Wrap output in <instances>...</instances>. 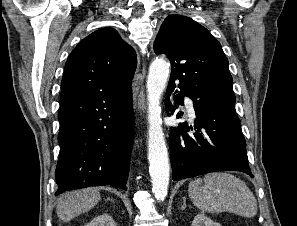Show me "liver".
Masks as SVG:
<instances>
[{
  "label": "liver",
  "mask_w": 297,
  "mask_h": 226,
  "mask_svg": "<svg viewBox=\"0 0 297 226\" xmlns=\"http://www.w3.org/2000/svg\"><path fill=\"white\" fill-rule=\"evenodd\" d=\"M100 193L88 188L67 193L58 201L56 212L60 220L68 222L92 209L100 201Z\"/></svg>",
  "instance_id": "6515ba94"
}]
</instances>
